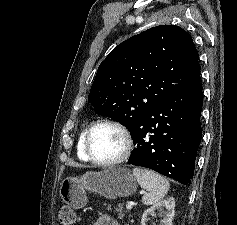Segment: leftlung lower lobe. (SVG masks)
<instances>
[{
  "instance_id": "left-lung-lower-lobe-1",
  "label": "left lung lower lobe",
  "mask_w": 237,
  "mask_h": 225,
  "mask_svg": "<svg viewBox=\"0 0 237 225\" xmlns=\"http://www.w3.org/2000/svg\"><path fill=\"white\" fill-rule=\"evenodd\" d=\"M202 103L198 83L156 104L131 131L135 147L128 163L189 186L202 138Z\"/></svg>"
}]
</instances>
